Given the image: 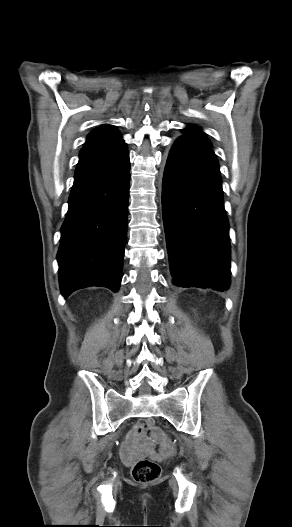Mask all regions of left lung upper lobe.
Returning <instances> with one entry per match:
<instances>
[{
  "label": "left lung upper lobe",
  "instance_id": "obj_1",
  "mask_svg": "<svg viewBox=\"0 0 292 527\" xmlns=\"http://www.w3.org/2000/svg\"><path fill=\"white\" fill-rule=\"evenodd\" d=\"M184 136H181L178 140H189L206 146H211L210 141L197 126H188L183 129Z\"/></svg>",
  "mask_w": 292,
  "mask_h": 527
}]
</instances>
